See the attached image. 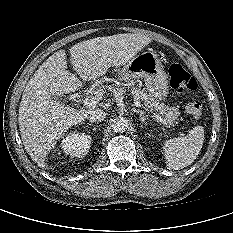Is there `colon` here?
<instances>
[{
    "instance_id": "obj_1",
    "label": "colon",
    "mask_w": 233,
    "mask_h": 233,
    "mask_svg": "<svg viewBox=\"0 0 233 233\" xmlns=\"http://www.w3.org/2000/svg\"><path fill=\"white\" fill-rule=\"evenodd\" d=\"M171 87L179 92L195 91L198 87L197 81L187 72L182 65L172 64L169 69ZM187 112L193 117H200L203 112V100L200 97L192 99L186 106Z\"/></svg>"
}]
</instances>
